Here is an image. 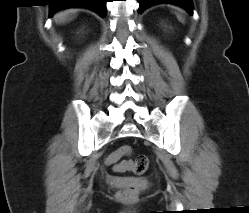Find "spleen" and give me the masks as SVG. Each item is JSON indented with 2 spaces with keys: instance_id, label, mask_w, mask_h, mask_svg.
<instances>
[{
  "instance_id": "1",
  "label": "spleen",
  "mask_w": 249,
  "mask_h": 213,
  "mask_svg": "<svg viewBox=\"0 0 249 213\" xmlns=\"http://www.w3.org/2000/svg\"><path fill=\"white\" fill-rule=\"evenodd\" d=\"M176 15H177L178 20L183 23L184 22V18L182 17V15L179 14V13H177Z\"/></svg>"
}]
</instances>
